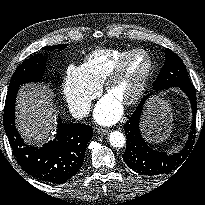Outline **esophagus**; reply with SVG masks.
Segmentation results:
<instances>
[{
  "mask_svg": "<svg viewBox=\"0 0 205 205\" xmlns=\"http://www.w3.org/2000/svg\"><path fill=\"white\" fill-rule=\"evenodd\" d=\"M109 132H110V130H108V129H102V128L98 129V133L101 135H106Z\"/></svg>",
  "mask_w": 205,
  "mask_h": 205,
  "instance_id": "obj_1",
  "label": "esophagus"
}]
</instances>
